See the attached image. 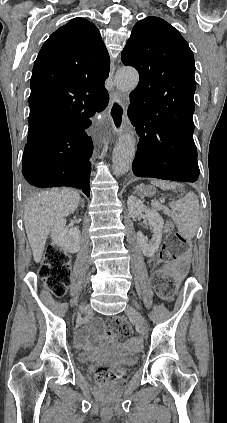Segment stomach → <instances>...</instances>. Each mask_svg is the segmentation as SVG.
I'll list each match as a JSON object with an SVG mask.
<instances>
[{
    "instance_id": "1",
    "label": "stomach",
    "mask_w": 227,
    "mask_h": 423,
    "mask_svg": "<svg viewBox=\"0 0 227 423\" xmlns=\"http://www.w3.org/2000/svg\"><path fill=\"white\" fill-rule=\"evenodd\" d=\"M137 192L141 196H153L155 194V188H152V186H139Z\"/></svg>"
}]
</instances>
